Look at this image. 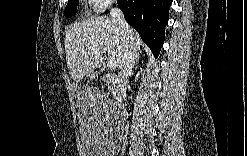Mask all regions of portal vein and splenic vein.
Masks as SVG:
<instances>
[{
	"label": "portal vein and splenic vein",
	"instance_id": "portal-vein-and-splenic-vein-1",
	"mask_svg": "<svg viewBox=\"0 0 247 156\" xmlns=\"http://www.w3.org/2000/svg\"><path fill=\"white\" fill-rule=\"evenodd\" d=\"M107 67L110 69V70H113L115 69L117 66H116V62L114 61H110L107 65Z\"/></svg>",
	"mask_w": 247,
	"mask_h": 156
}]
</instances>
